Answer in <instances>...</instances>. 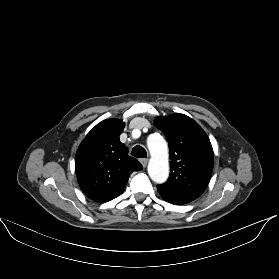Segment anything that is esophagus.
Returning a JSON list of instances; mask_svg holds the SVG:
<instances>
[{"instance_id": "esophagus-1", "label": "esophagus", "mask_w": 279, "mask_h": 279, "mask_svg": "<svg viewBox=\"0 0 279 279\" xmlns=\"http://www.w3.org/2000/svg\"><path fill=\"white\" fill-rule=\"evenodd\" d=\"M140 162H141L142 166L145 168L148 164V159L147 158L140 159Z\"/></svg>"}]
</instances>
